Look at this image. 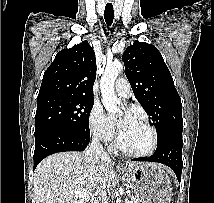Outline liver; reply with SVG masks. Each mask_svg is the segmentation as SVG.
Here are the masks:
<instances>
[{"instance_id": "6515ba94", "label": "liver", "mask_w": 214, "mask_h": 203, "mask_svg": "<svg viewBox=\"0 0 214 203\" xmlns=\"http://www.w3.org/2000/svg\"><path fill=\"white\" fill-rule=\"evenodd\" d=\"M111 160H92L87 152H60L42 160L34 172L36 203H94L100 193L112 191L118 183ZM138 163H129V168ZM85 189L90 199L75 192Z\"/></svg>"}]
</instances>
